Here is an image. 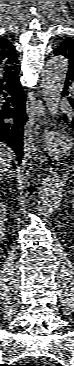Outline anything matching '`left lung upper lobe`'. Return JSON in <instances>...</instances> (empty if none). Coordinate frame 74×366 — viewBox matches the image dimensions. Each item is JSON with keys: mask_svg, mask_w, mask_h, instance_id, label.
I'll return each instance as SVG.
<instances>
[{"mask_svg": "<svg viewBox=\"0 0 74 366\" xmlns=\"http://www.w3.org/2000/svg\"><path fill=\"white\" fill-rule=\"evenodd\" d=\"M55 55L65 56L69 61V73L74 74V39L67 38L55 50Z\"/></svg>", "mask_w": 74, "mask_h": 366, "instance_id": "1", "label": "left lung upper lobe"}]
</instances>
